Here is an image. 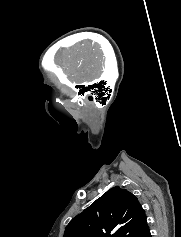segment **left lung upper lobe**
I'll use <instances>...</instances> for the list:
<instances>
[{"instance_id":"obj_1","label":"left lung upper lobe","mask_w":181,"mask_h":237,"mask_svg":"<svg viewBox=\"0 0 181 237\" xmlns=\"http://www.w3.org/2000/svg\"><path fill=\"white\" fill-rule=\"evenodd\" d=\"M147 228L138 199L116 186L74 217L63 237H139Z\"/></svg>"}]
</instances>
